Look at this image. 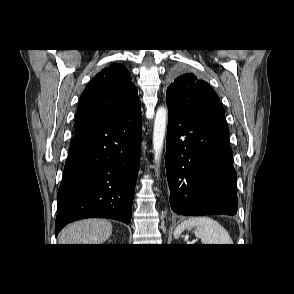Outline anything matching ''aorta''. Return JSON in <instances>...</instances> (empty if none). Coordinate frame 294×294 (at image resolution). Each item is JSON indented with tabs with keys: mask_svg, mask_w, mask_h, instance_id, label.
<instances>
[{
	"mask_svg": "<svg viewBox=\"0 0 294 294\" xmlns=\"http://www.w3.org/2000/svg\"><path fill=\"white\" fill-rule=\"evenodd\" d=\"M167 109L163 107H159L156 112L154 127H153V150H154V158L155 164L157 165V173L159 162L161 159V154L163 150L166 125H167Z\"/></svg>",
	"mask_w": 294,
	"mask_h": 294,
	"instance_id": "1",
	"label": "aorta"
}]
</instances>
